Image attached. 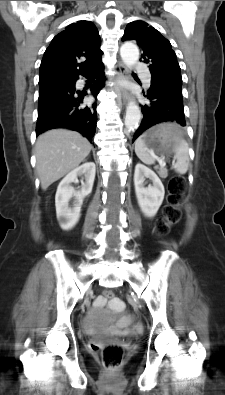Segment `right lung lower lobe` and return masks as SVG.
I'll list each match as a JSON object with an SVG mask.
<instances>
[{
  "label": "right lung lower lobe",
  "instance_id": "1",
  "mask_svg": "<svg viewBox=\"0 0 225 395\" xmlns=\"http://www.w3.org/2000/svg\"><path fill=\"white\" fill-rule=\"evenodd\" d=\"M94 69L98 77L90 91L96 97L104 86L103 63H98ZM83 76L87 77L88 73ZM77 79L64 81L39 94L36 136L52 128H68L82 133L92 143L97 123L96 104L82 105L87 92L75 90Z\"/></svg>",
  "mask_w": 225,
  "mask_h": 395
}]
</instances>
